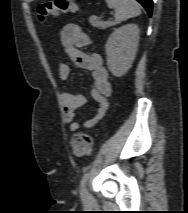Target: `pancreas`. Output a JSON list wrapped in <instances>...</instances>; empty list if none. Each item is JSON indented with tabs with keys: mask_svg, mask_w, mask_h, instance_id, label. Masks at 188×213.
Returning a JSON list of instances; mask_svg holds the SVG:
<instances>
[{
	"mask_svg": "<svg viewBox=\"0 0 188 213\" xmlns=\"http://www.w3.org/2000/svg\"><path fill=\"white\" fill-rule=\"evenodd\" d=\"M89 22L91 23V25L93 27H97V28H100V29H106L108 27L116 25V22H113V21H106V22L105 21H101L96 16H91L89 18Z\"/></svg>",
	"mask_w": 188,
	"mask_h": 213,
	"instance_id": "cf45deb5",
	"label": "pancreas"
}]
</instances>
